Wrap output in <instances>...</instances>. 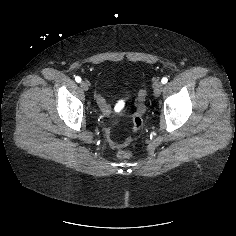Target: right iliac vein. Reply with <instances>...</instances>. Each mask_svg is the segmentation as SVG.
<instances>
[{
    "mask_svg": "<svg viewBox=\"0 0 236 236\" xmlns=\"http://www.w3.org/2000/svg\"><path fill=\"white\" fill-rule=\"evenodd\" d=\"M80 87L84 90L87 91L89 89V83L87 81H82L80 83Z\"/></svg>",
    "mask_w": 236,
    "mask_h": 236,
    "instance_id": "1",
    "label": "right iliac vein"
}]
</instances>
